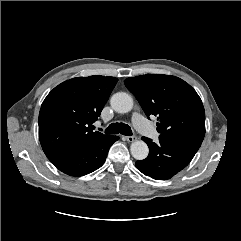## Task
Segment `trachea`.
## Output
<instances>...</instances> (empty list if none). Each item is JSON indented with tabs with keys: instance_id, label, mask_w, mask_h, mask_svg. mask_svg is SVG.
I'll return each instance as SVG.
<instances>
[{
	"instance_id": "obj_1",
	"label": "trachea",
	"mask_w": 241,
	"mask_h": 241,
	"mask_svg": "<svg viewBox=\"0 0 241 241\" xmlns=\"http://www.w3.org/2000/svg\"><path fill=\"white\" fill-rule=\"evenodd\" d=\"M105 133H107V134H119V133H121L122 135L131 136L132 130L127 124H124V123L120 122V123L110 124L106 128Z\"/></svg>"
}]
</instances>
